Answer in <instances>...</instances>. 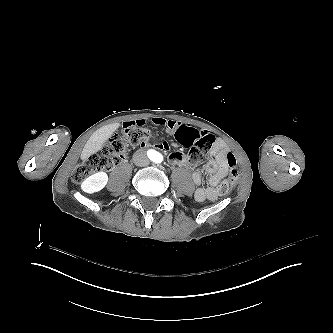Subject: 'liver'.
Here are the masks:
<instances>
[{"label":"liver","mask_w":333,"mask_h":333,"mask_svg":"<svg viewBox=\"0 0 333 333\" xmlns=\"http://www.w3.org/2000/svg\"><path fill=\"white\" fill-rule=\"evenodd\" d=\"M119 126L120 123H113L97 129L86 142L80 156L81 160L85 161L92 154L101 150L103 144L113 135Z\"/></svg>","instance_id":"liver-1"}]
</instances>
